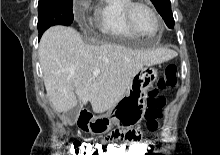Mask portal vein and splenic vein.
Instances as JSON below:
<instances>
[{
  "instance_id": "18ae733b",
  "label": "portal vein and splenic vein",
  "mask_w": 220,
  "mask_h": 155,
  "mask_svg": "<svg viewBox=\"0 0 220 155\" xmlns=\"http://www.w3.org/2000/svg\"><path fill=\"white\" fill-rule=\"evenodd\" d=\"M99 74H100V69H99V68H95V69L93 70V76H94V78H97V77L99 76Z\"/></svg>"
}]
</instances>
